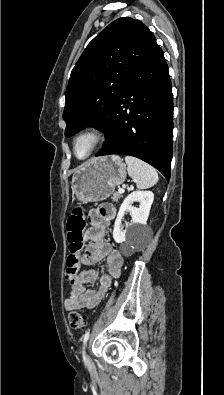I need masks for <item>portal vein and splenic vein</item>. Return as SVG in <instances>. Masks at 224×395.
<instances>
[{"label":"portal vein and splenic vein","instance_id":"18ae733b","mask_svg":"<svg viewBox=\"0 0 224 395\" xmlns=\"http://www.w3.org/2000/svg\"><path fill=\"white\" fill-rule=\"evenodd\" d=\"M124 191H125V190H124L123 188H119V189H118V192H119L120 194L124 193Z\"/></svg>","mask_w":224,"mask_h":395}]
</instances>
